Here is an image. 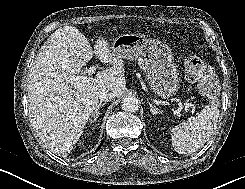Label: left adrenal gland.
Segmentation results:
<instances>
[{
  "label": "left adrenal gland",
  "mask_w": 245,
  "mask_h": 189,
  "mask_svg": "<svg viewBox=\"0 0 245 189\" xmlns=\"http://www.w3.org/2000/svg\"><path fill=\"white\" fill-rule=\"evenodd\" d=\"M147 103L149 104L150 106V112L154 115L156 114H160L162 113V111L160 109H158L157 107L153 106L151 102H149V100H147Z\"/></svg>",
  "instance_id": "left-adrenal-gland-1"
}]
</instances>
